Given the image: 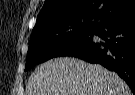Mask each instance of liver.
<instances>
[{
	"instance_id": "1",
	"label": "liver",
	"mask_w": 135,
	"mask_h": 95,
	"mask_svg": "<svg viewBox=\"0 0 135 95\" xmlns=\"http://www.w3.org/2000/svg\"><path fill=\"white\" fill-rule=\"evenodd\" d=\"M25 95H132L126 83L101 65L74 58L49 60L31 74Z\"/></svg>"
}]
</instances>
